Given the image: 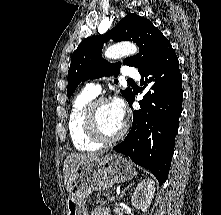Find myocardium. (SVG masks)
<instances>
[{
    "instance_id": "obj_1",
    "label": "myocardium",
    "mask_w": 221,
    "mask_h": 215,
    "mask_svg": "<svg viewBox=\"0 0 221 215\" xmlns=\"http://www.w3.org/2000/svg\"><path fill=\"white\" fill-rule=\"evenodd\" d=\"M109 103L105 97L91 100L85 107L83 113V127L89 138L100 144H112L119 141L127 131V124L123 122L121 129L112 136L105 135L98 126L97 110L100 105Z\"/></svg>"
}]
</instances>
